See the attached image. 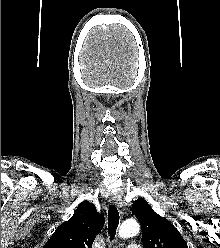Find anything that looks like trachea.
Listing matches in <instances>:
<instances>
[{
    "instance_id": "1",
    "label": "trachea",
    "mask_w": 220,
    "mask_h": 248,
    "mask_svg": "<svg viewBox=\"0 0 220 248\" xmlns=\"http://www.w3.org/2000/svg\"><path fill=\"white\" fill-rule=\"evenodd\" d=\"M119 224V212L116 206L110 205L108 210V232L110 241L115 238L116 230Z\"/></svg>"
}]
</instances>
